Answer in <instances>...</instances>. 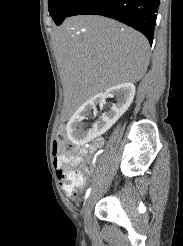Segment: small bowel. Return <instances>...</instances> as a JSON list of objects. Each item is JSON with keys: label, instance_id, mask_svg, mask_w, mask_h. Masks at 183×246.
Masks as SVG:
<instances>
[{"label": "small bowel", "instance_id": "1", "mask_svg": "<svg viewBox=\"0 0 183 246\" xmlns=\"http://www.w3.org/2000/svg\"><path fill=\"white\" fill-rule=\"evenodd\" d=\"M100 143V140H97L96 144L98 145ZM89 149L86 147L80 148L75 154L74 150L70 149L67 152H65L63 155L57 157L55 159V169H56V174L57 177L60 181V185L62 189L68 194V195H73L69 183H68V177L67 173L69 170L65 168V164H70V166H76L78 165L83 158L88 154ZM85 180H82L81 186L84 184ZM80 186V187H81ZM106 189L110 188L109 184L105 185Z\"/></svg>", "mask_w": 183, "mask_h": 246}]
</instances>
